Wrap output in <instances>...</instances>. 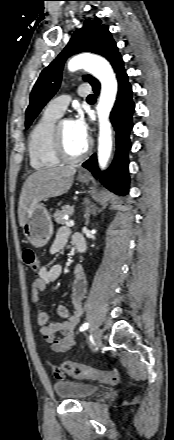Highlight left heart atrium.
I'll return each mask as SVG.
<instances>
[{
  "instance_id": "left-heart-atrium-1",
  "label": "left heart atrium",
  "mask_w": 174,
  "mask_h": 440,
  "mask_svg": "<svg viewBox=\"0 0 174 440\" xmlns=\"http://www.w3.org/2000/svg\"><path fill=\"white\" fill-rule=\"evenodd\" d=\"M72 130L75 136L83 142L88 140L89 127L86 119L82 114L76 116V118L71 121Z\"/></svg>"
}]
</instances>
